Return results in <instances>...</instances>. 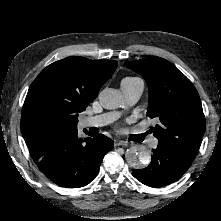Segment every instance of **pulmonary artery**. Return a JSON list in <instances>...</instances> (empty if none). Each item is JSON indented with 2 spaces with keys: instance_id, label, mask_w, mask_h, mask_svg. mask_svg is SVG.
<instances>
[{
  "instance_id": "pulmonary-artery-1",
  "label": "pulmonary artery",
  "mask_w": 221,
  "mask_h": 221,
  "mask_svg": "<svg viewBox=\"0 0 221 221\" xmlns=\"http://www.w3.org/2000/svg\"><path fill=\"white\" fill-rule=\"evenodd\" d=\"M121 90L124 95L127 105L135 104L141 97L144 84L142 80L122 81ZM121 113L119 111H112L101 115L86 117L81 121V126L84 128L101 127L114 122L119 118Z\"/></svg>"
}]
</instances>
